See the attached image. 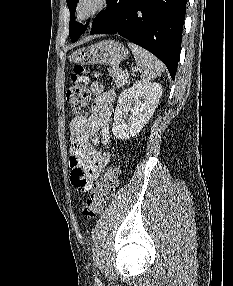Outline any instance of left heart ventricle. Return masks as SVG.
<instances>
[{"instance_id": "b2bd125f", "label": "left heart ventricle", "mask_w": 233, "mask_h": 286, "mask_svg": "<svg viewBox=\"0 0 233 286\" xmlns=\"http://www.w3.org/2000/svg\"><path fill=\"white\" fill-rule=\"evenodd\" d=\"M93 6H94L93 2H90V3L86 4V5H84L83 8H82V13L83 14L88 13L89 11L92 10Z\"/></svg>"}]
</instances>
